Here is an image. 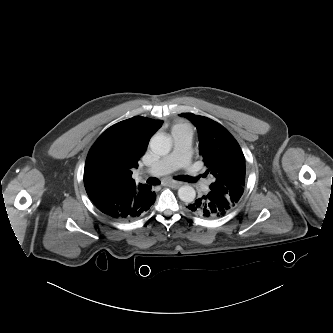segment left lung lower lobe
Segmentation results:
<instances>
[{
  "instance_id": "left-lung-lower-lobe-1",
  "label": "left lung lower lobe",
  "mask_w": 333,
  "mask_h": 333,
  "mask_svg": "<svg viewBox=\"0 0 333 333\" xmlns=\"http://www.w3.org/2000/svg\"><path fill=\"white\" fill-rule=\"evenodd\" d=\"M234 208L225 196L209 191L188 206V209L205 218L216 219L224 216Z\"/></svg>"
}]
</instances>
